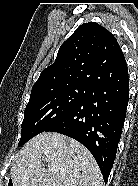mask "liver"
Here are the masks:
<instances>
[{
    "mask_svg": "<svg viewBox=\"0 0 138 186\" xmlns=\"http://www.w3.org/2000/svg\"><path fill=\"white\" fill-rule=\"evenodd\" d=\"M10 176L13 186H102L101 171L88 149L54 132H43L28 141Z\"/></svg>",
    "mask_w": 138,
    "mask_h": 186,
    "instance_id": "liver-1",
    "label": "liver"
}]
</instances>
